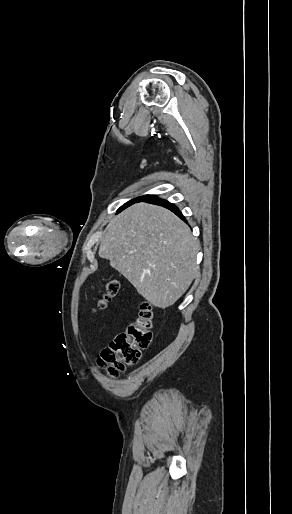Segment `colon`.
<instances>
[{"label": "colon", "mask_w": 292, "mask_h": 514, "mask_svg": "<svg viewBox=\"0 0 292 514\" xmlns=\"http://www.w3.org/2000/svg\"><path fill=\"white\" fill-rule=\"evenodd\" d=\"M119 283L116 280L105 282L102 293L96 297L95 304L99 309L116 297ZM154 324L149 302L140 303L127 331L115 337L105 347L99 358L98 365L107 375L118 376L128 366L137 363L142 352L148 349L153 341Z\"/></svg>", "instance_id": "obj_1"}]
</instances>
